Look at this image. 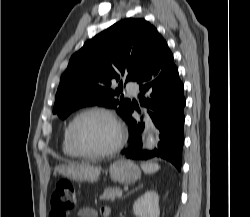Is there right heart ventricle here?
<instances>
[{
	"label": "right heart ventricle",
	"instance_id": "e07e8e85",
	"mask_svg": "<svg viewBox=\"0 0 250 217\" xmlns=\"http://www.w3.org/2000/svg\"><path fill=\"white\" fill-rule=\"evenodd\" d=\"M62 150L65 155L75 158L78 157L77 153L73 150V148L70 146L68 141V135H67V128L64 131L63 139H62Z\"/></svg>",
	"mask_w": 250,
	"mask_h": 217
}]
</instances>
